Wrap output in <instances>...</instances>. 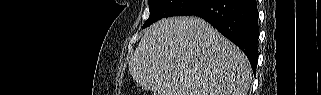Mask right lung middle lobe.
<instances>
[{"mask_svg":"<svg viewBox=\"0 0 321 95\" xmlns=\"http://www.w3.org/2000/svg\"><path fill=\"white\" fill-rule=\"evenodd\" d=\"M208 0H149L150 16L143 28L170 16L191 15Z\"/></svg>","mask_w":321,"mask_h":95,"instance_id":"obj_1","label":"right lung middle lobe"}]
</instances>
